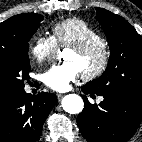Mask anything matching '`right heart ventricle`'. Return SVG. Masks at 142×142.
<instances>
[{
  "instance_id": "e07e8e85",
  "label": "right heart ventricle",
  "mask_w": 142,
  "mask_h": 142,
  "mask_svg": "<svg viewBox=\"0 0 142 142\" xmlns=\"http://www.w3.org/2000/svg\"><path fill=\"white\" fill-rule=\"evenodd\" d=\"M52 37L56 44L61 47H70L95 41L104 42V38L98 30L85 20L76 17L54 24Z\"/></svg>"
}]
</instances>
